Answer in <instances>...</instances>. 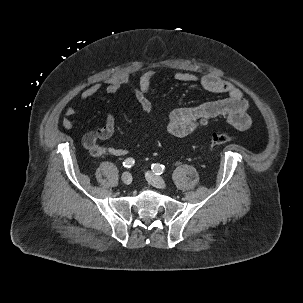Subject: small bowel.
Masks as SVG:
<instances>
[{"mask_svg": "<svg viewBox=\"0 0 303 303\" xmlns=\"http://www.w3.org/2000/svg\"><path fill=\"white\" fill-rule=\"evenodd\" d=\"M156 79L154 72L114 73L105 79L107 93L115 95L118 89L127 85L131 87L132 93L137 99L143 114H149L152 110V103L149 99L152 82ZM174 79L185 83H198L206 91L215 94H226L220 100L208 101L194 106L180 107L173 110L168 119V132L175 137H185L193 133L199 126L206 124L209 120L217 117H224L228 123L237 130L245 131L251 126L249 117L248 101L242 91L234 84L220 79L219 77L207 74L198 77L187 72H177ZM99 90L97 85L85 89L81 95V101L94 96ZM77 114L74 107H67L61 124L66 129L74 126L72 117ZM115 131V118L109 113L105 124L95 130L86 132L81 140L82 146L94 157L102 155L123 156L128 153L125 148L104 147L99 144L112 137Z\"/></svg>", "mask_w": 303, "mask_h": 303, "instance_id": "1", "label": "small bowel"}]
</instances>
